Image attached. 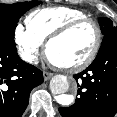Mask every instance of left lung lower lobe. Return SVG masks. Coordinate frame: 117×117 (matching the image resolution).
<instances>
[{"label":"left lung lower lobe","instance_id":"0a47b994","mask_svg":"<svg viewBox=\"0 0 117 117\" xmlns=\"http://www.w3.org/2000/svg\"><path fill=\"white\" fill-rule=\"evenodd\" d=\"M74 105L59 108L62 117H114L117 112V40L99 52L79 74Z\"/></svg>","mask_w":117,"mask_h":117}]
</instances>
